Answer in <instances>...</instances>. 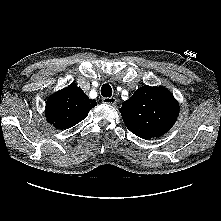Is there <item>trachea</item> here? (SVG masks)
<instances>
[{
  "mask_svg": "<svg viewBox=\"0 0 221 221\" xmlns=\"http://www.w3.org/2000/svg\"><path fill=\"white\" fill-rule=\"evenodd\" d=\"M101 95L103 97H110L112 95V87L109 84H103L101 87Z\"/></svg>",
  "mask_w": 221,
  "mask_h": 221,
  "instance_id": "1",
  "label": "trachea"
}]
</instances>
